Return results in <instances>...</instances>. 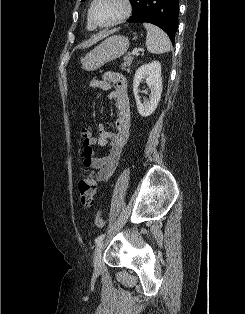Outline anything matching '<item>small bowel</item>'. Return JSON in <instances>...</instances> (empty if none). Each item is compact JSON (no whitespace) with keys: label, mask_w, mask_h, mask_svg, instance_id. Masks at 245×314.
Returning <instances> with one entry per match:
<instances>
[{"label":"small bowel","mask_w":245,"mask_h":314,"mask_svg":"<svg viewBox=\"0 0 245 314\" xmlns=\"http://www.w3.org/2000/svg\"><path fill=\"white\" fill-rule=\"evenodd\" d=\"M85 87L110 91L109 98L115 103L114 131H109L101 124L98 126L96 137L88 128H82L80 132L83 165L96 170L94 177L97 181L107 182L116 170L130 134L131 114L128 86L121 74L110 71L105 72L100 80H91ZM106 146L109 147V150L105 155H99L94 149Z\"/></svg>","instance_id":"c3829d8e"}]
</instances>
